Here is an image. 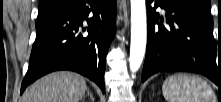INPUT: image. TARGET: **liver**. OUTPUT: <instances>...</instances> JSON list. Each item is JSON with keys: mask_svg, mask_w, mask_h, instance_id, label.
<instances>
[{"mask_svg": "<svg viewBox=\"0 0 221 102\" xmlns=\"http://www.w3.org/2000/svg\"><path fill=\"white\" fill-rule=\"evenodd\" d=\"M87 84L79 74L54 72L37 80L23 94V102H79Z\"/></svg>", "mask_w": 221, "mask_h": 102, "instance_id": "6515ba94", "label": "liver"}]
</instances>
